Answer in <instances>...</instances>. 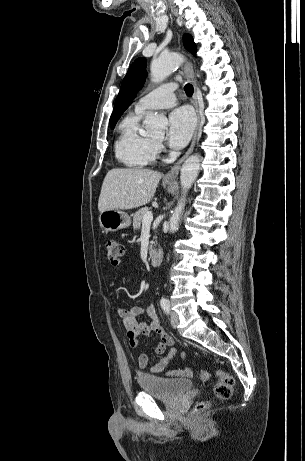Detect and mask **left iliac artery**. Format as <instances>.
I'll return each mask as SVG.
<instances>
[{
  "mask_svg": "<svg viewBox=\"0 0 305 461\" xmlns=\"http://www.w3.org/2000/svg\"><path fill=\"white\" fill-rule=\"evenodd\" d=\"M160 305H161V308L163 309V311H164L166 314H169V312H170V305H169L168 300H167L165 297H162V298H161V300H160Z\"/></svg>",
  "mask_w": 305,
  "mask_h": 461,
  "instance_id": "obj_1",
  "label": "left iliac artery"
}]
</instances>
